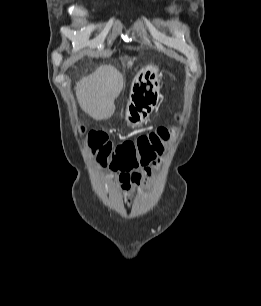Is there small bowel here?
Wrapping results in <instances>:
<instances>
[{"instance_id":"obj_1","label":"small bowel","mask_w":261,"mask_h":306,"mask_svg":"<svg viewBox=\"0 0 261 306\" xmlns=\"http://www.w3.org/2000/svg\"><path fill=\"white\" fill-rule=\"evenodd\" d=\"M114 179L127 204L132 203L133 196L150 183L151 168H141L135 171H114Z\"/></svg>"}]
</instances>
